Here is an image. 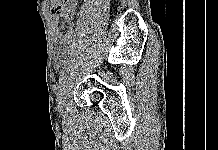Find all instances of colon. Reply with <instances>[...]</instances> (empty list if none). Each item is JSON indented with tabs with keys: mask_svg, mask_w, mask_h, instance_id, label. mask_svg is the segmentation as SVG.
I'll use <instances>...</instances> for the list:
<instances>
[{
	"mask_svg": "<svg viewBox=\"0 0 218 150\" xmlns=\"http://www.w3.org/2000/svg\"><path fill=\"white\" fill-rule=\"evenodd\" d=\"M68 0H52V11L59 12L63 10L67 4Z\"/></svg>",
	"mask_w": 218,
	"mask_h": 150,
	"instance_id": "1",
	"label": "colon"
}]
</instances>
